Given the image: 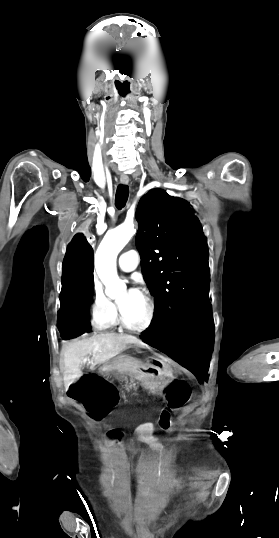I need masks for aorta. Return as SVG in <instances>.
Listing matches in <instances>:
<instances>
[{"mask_svg": "<svg viewBox=\"0 0 279 538\" xmlns=\"http://www.w3.org/2000/svg\"><path fill=\"white\" fill-rule=\"evenodd\" d=\"M134 233L133 223H124L109 230L96 251V272L105 285L106 295L112 299L122 297L126 291V284L117 275L116 259Z\"/></svg>", "mask_w": 279, "mask_h": 538, "instance_id": "762f6f07", "label": "aorta"}]
</instances>
